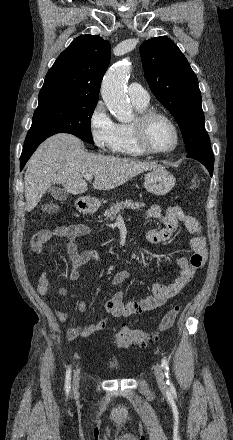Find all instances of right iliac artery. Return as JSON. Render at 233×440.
Segmentation results:
<instances>
[{
    "instance_id": "obj_1",
    "label": "right iliac artery",
    "mask_w": 233,
    "mask_h": 440,
    "mask_svg": "<svg viewBox=\"0 0 233 440\" xmlns=\"http://www.w3.org/2000/svg\"><path fill=\"white\" fill-rule=\"evenodd\" d=\"M70 380H71V369L68 368L66 372V380H65V391L67 395L70 392Z\"/></svg>"
}]
</instances>
